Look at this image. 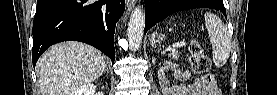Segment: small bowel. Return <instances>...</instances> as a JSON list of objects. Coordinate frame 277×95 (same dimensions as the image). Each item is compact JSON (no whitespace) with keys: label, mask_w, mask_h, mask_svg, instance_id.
I'll use <instances>...</instances> for the list:
<instances>
[{"label":"small bowel","mask_w":277,"mask_h":95,"mask_svg":"<svg viewBox=\"0 0 277 95\" xmlns=\"http://www.w3.org/2000/svg\"><path fill=\"white\" fill-rule=\"evenodd\" d=\"M176 76L184 84L180 87L168 88L166 95H217L219 92L206 76H194L188 69H181Z\"/></svg>","instance_id":"c3829d8e"}]
</instances>
